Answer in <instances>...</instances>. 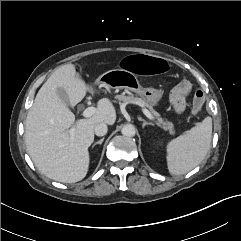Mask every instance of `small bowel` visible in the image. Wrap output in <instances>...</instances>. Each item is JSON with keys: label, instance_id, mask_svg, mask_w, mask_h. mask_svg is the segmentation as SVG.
<instances>
[{"label": "small bowel", "instance_id": "small-bowel-1", "mask_svg": "<svg viewBox=\"0 0 241 241\" xmlns=\"http://www.w3.org/2000/svg\"><path fill=\"white\" fill-rule=\"evenodd\" d=\"M154 57H159V56H154ZM191 89H192V86L190 82L184 80V81H181L178 85H176L175 88L172 90L169 100L172 107L177 113H182L185 110L186 99L190 94Z\"/></svg>", "mask_w": 241, "mask_h": 241}]
</instances>
